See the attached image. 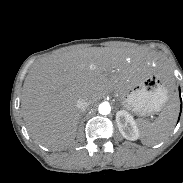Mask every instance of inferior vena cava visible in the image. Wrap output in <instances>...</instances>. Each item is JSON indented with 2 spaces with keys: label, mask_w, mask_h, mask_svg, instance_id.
Masks as SVG:
<instances>
[{
  "label": "inferior vena cava",
  "mask_w": 183,
  "mask_h": 183,
  "mask_svg": "<svg viewBox=\"0 0 183 183\" xmlns=\"http://www.w3.org/2000/svg\"><path fill=\"white\" fill-rule=\"evenodd\" d=\"M88 106L89 104L85 99H79L77 101V108L79 109L80 112H84Z\"/></svg>",
  "instance_id": "602c4592"
}]
</instances>
